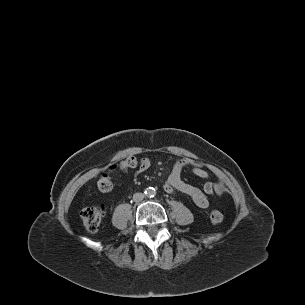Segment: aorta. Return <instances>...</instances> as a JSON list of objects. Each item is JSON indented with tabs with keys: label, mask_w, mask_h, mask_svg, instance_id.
Returning a JSON list of instances; mask_svg holds the SVG:
<instances>
[{
	"label": "aorta",
	"mask_w": 305,
	"mask_h": 305,
	"mask_svg": "<svg viewBox=\"0 0 305 305\" xmlns=\"http://www.w3.org/2000/svg\"><path fill=\"white\" fill-rule=\"evenodd\" d=\"M147 194H148V195H152V194H153V190H151V189L148 190V191H147Z\"/></svg>",
	"instance_id": "obj_1"
}]
</instances>
